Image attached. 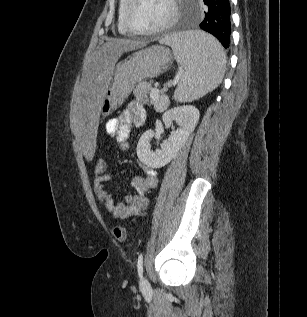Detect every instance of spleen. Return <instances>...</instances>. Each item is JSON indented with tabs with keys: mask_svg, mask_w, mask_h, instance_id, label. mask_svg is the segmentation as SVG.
Returning <instances> with one entry per match:
<instances>
[{
	"mask_svg": "<svg viewBox=\"0 0 307 317\" xmlns=\"http://www.w3.org/2000/svg\"><path fill=\"white\" fill-rule=\"evenodd\" d=\"M159 44L169 45L180 65L177 102H191L214 90L222 81L226 55L217 39L203 31L164 33Z\"/></svg>",
	"mask_w": 307,
	"mask_h": 317,
	"instance_id": "spleen-1",
	"label": "spleen"
}]
</instances>
